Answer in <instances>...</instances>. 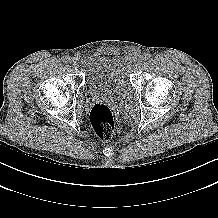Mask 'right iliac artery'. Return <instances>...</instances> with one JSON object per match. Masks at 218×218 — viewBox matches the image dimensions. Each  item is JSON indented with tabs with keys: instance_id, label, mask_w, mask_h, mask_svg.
<instances>
[{
	"instance_id": "right-iliac-artery-1",
	"label": "right iliac artery",
	"mask_w": 218,
	"mask_h": 218,
	"mask_svg": "<svg viewBox=\"0 0 218 218\" xmlns=\"http://www.w3.org/2000/svg\"><path fill=\"white\" fill-rule=\"evenodd\" d=\"M70 60L69 56L63 57L62 61L66 64Z\"/></svg>"
}]
</instances>
